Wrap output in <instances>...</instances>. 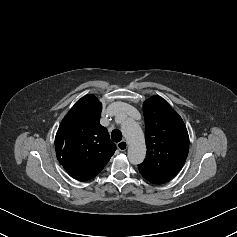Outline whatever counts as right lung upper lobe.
<instances>
[{"mask_svg": "<svg viewBox=\"0 0 237 237\" xmlns=\"http://www.w3.org/2000/svg\"><path fill=\"white\" fill-rule=\"evenodd\" d=\"M102 104L94 95L81 98L61 121L55 137L56 155L76 180L101 172L116 150L107 129L100 125Z\"/></svg>", "mask_w": 237, "mask_h": 237, "instance_id": "obj_1", "label": "right lung upper lobe"}]
</instances>
